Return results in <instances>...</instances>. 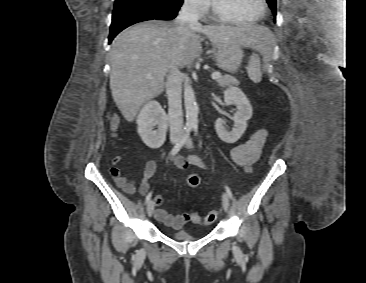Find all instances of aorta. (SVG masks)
<instances>
[{"label":"aorta","mask_w":366,"mask_h":283,"mask_svg":"<svg viewBox=\"0 0 366 283\" xmlns=\"http://www.w3.org/2000/svg\"><path fill=\"white\" fill-rule=\"evenodd\" d=\"M184 105L186 110V125L189 127H197L199 108L196 103L194 90L189 83L184 87Z\"/></svg>","instance_id":"obj_1"}]
</instances>
